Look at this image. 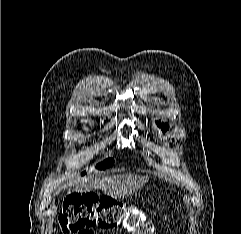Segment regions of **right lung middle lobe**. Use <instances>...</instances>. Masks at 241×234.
<instances>
[{"instance_id": "obj_1", "label": "right lung middle lobe", "mask_w": 241, "mask_h": 234, "mask_svg": "<svg viewBox=\"0 0 241 234\" xmlns=\"http://www.w3.org/2000/svg\"><path fill=\"white\" fill-rule=\"evenodd\" d=\"M114 164V160L112 158H108L106 160H104L103 162H101L100 164L96 165V168L98 169H106L107 167H110ZM86 172H82V175H85Z\"/></svg>"}]
</instances>
